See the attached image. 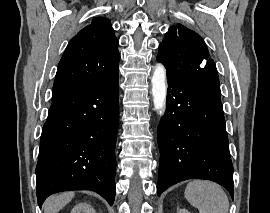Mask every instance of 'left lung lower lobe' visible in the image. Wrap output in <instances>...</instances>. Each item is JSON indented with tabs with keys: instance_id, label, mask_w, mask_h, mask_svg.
I'll use <instances>...</instances> for the list:
<instances>
[{
	"instance_id": "obj_1",
	"label": "left lung lower lobe",
	"mask_w": 270,
	"mask_h": 213,
	"mask_svg": "<svg viewBox=\"0 0 270 213\" xmlns=\"http://www.w3.org/2000/svg\"><path fill=\"white\" fill-rule=\"evenodd\" d=\"M166 113L158 126L160 149L157 194L186 179H207L233 198L220 88L198 78H167Z\"/></svg>"
}]
</instances>
